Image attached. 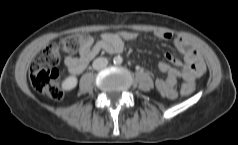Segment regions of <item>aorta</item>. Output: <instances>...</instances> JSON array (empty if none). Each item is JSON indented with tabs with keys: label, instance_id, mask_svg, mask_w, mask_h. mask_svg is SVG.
I'll return each mask as SVG.
<instances>
[{
	"label": "aorta",
	"instance_id": "obj_1",
	"mask_svg": "<svg viewBox=\"0 0 238 145\" xmlns=\"http://www.w3.org/2000/svg\"><path fill=\"white\" fill-rule=\"evenodd\" d=\"M113 61L115 64H121L123 62V58L121 56H116Z\"/></svg>",
	"mask_w": 238,
	"mask_h": 145
}]
</instances>
